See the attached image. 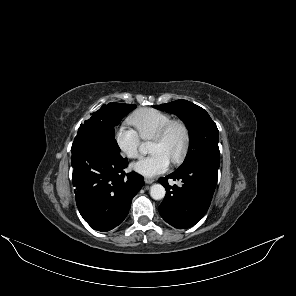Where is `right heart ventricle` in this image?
<instances>
[{
    "label": "right heart ventricle",
    "instance_id": "right-heart-ventricle-1",
    "mask_svg": "<svg viewBox=\"0 0 296 296\" xmlns=\"http://www.w3.org/2000/svg\"><path fill=\"white\" fill-rule=\"evenodd\" d=\"M171 120L170 114L152 108L141 109L130 118L131 124L143 140H152Z\"/></svg>",
    "mask_w": 296,
    "mask_h": 296
}]
</instances>
